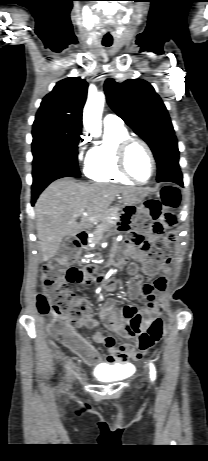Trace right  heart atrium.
I'll list each match as a JSON object with an SVG mask.
<instances>
[{
    "label": "right heart atrium",
    "mask_w": 208,
    "mask_h": 461,
    "mask_svg": "<svg viewBox=\"0 0 208 461\" xmlns=\"http://www.w3.org/2000/svg\"><path fill=\"white\" fill-rule=\"evenodd\" d=\"M88 141V138L86 135H83L80 143H79V150H81L83 148V146L86 144V142Z\"/></svg>",
    "instance_id": "d8ad5b80"
}]
</instances>
